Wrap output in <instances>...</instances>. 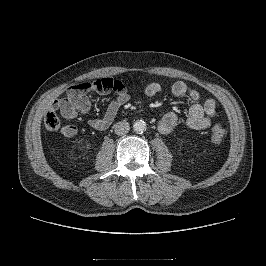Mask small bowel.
Returning a JSON list of instances; mask_svg holds the SVG:
<instances>
[{
    "label": "small bowel",
    "mask_w": 266,
    "mask_h": 266,
    "mask_svg": "<svg viewBox=\"0 0 266 266\" xmlns=\"http://www.w3.org/2000/svg\"><path fill=\"white\" fill-rule=\"evenodd\" d=\"M160 89L161 86L159 83L152 82L145 88V94L147 96H153ZM171 93L176 98L191 99L192 105L186 117H182L175 112H168L163 115L159 121V130L163 134H172L180 125H185L194 130L206 129L211 125L213 119L218 116L216 102L213 99L200 102L198 91L183 81L175 82L171 87ZM129 98L125 89L117 93L116 98L107 106L104 115L91 119L90 126L96 130L107 129L116 117L121 106L127 103ZM52 108L59 110L64 118L74 119L89 111L90 101L84 93L73 96L68 92L66 98L54 101ZM76 133L77 129L74 126H65L61 130V135L67 138L75 136Z\"/></svg>",
    "instance_id": "1"
}]
</instances>
